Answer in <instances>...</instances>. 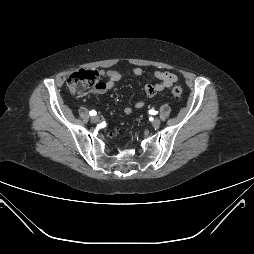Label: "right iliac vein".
<instances>
[{"label":"right iliac vein","mask_w":254,"mask_h":254,"mask_svg":"<svg viewBox=\"0 0 254 254\" xmlns=\"http://www.w3.org/2000/svg\"><path fill=\"white\" fill-rule=\"evenodd\" d=\"M91 121L93 123H98L100 121V118L98 116L94 115V116L91 117Z\"/></svg>","instance_id":"obj_1"}]
</instances>
